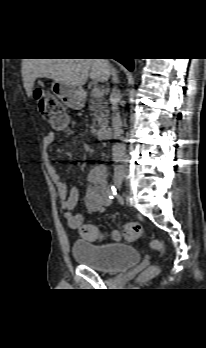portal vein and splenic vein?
<instances>
[{"label": "portal vein and splenic vein", "instance_id": "portal-vein-and-splenic-vein-1", "mask_svg": "<svg viewBox=\"0 0 206 348\" xmlns=\"http://www.w3.org/2000/svg\"><path fill=\"white\" fill-rule=\"evenodd\" d=\"M104 93H105V90L100 86H95L92 89V94L95 97H102L104 95Z\"/></svg>", "mask_w": 206, "mask_h": 348}]
</instances>
